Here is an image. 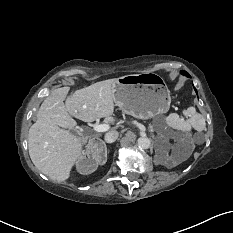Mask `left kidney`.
I'll list each match as a JSON object with an SVG mask.
<instances>
[{
  "instance_id": "5707ae66",
  "label": "left kidney",
  "mask_w": 233,
  "mask_h": 233,
  "mask_svg": "<svg viewBox=\"0 0 233 233\" xmlns=\"http://www.w3.org/2000/svg\"><path fill=\"white\" fill-rule=\"evenodd\" d=\"M181 145H182V140H178V142L176 143L174 149L178 150L181 147ZM168 148H169V146L167 145L166 146V151H165V154H166L167 157H168ZM171 159H172V161L174 163H178V159H176L175 155H171Z\"/></svg>"
}]
</instances>
